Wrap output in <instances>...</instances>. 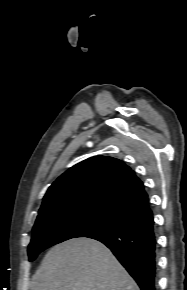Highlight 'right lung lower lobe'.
I'll list each match as a JSON object with an SVG mask.
<instances>
[{
	"label": "right lung lower lobe",
	"mask_w": 187,
	"mask_h": 290,
	"mask_svg": "<svg viewBox=\"0 0 187 290\" xmlns=\"http://www.w3.org/2000/svg\"><path fill=\"white\" fill-rule=\"evenodd\" d=\"M104 243L141 290H156L157 242L153 214L88 236Z\"/></svg>",
	"instance_id": "98d812e1"
}]
</instances>
